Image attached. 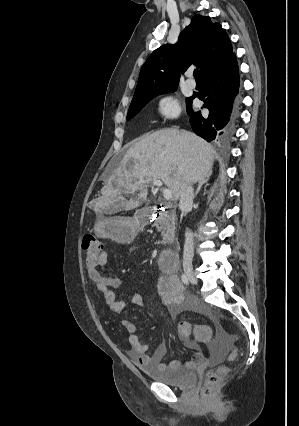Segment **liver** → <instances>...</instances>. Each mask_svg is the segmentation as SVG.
<instances>
[{
	"instance_id": "liver-1",
	"label": "liver",
	"mask_w": 299,
	"mask_h": 426,
	"mask_svg": "<svg viewBox=\"0 0 299 426\" xmlns=\"http://www.w3.org/2000/svg\"><path fill=\"white\" fill-rule=\"evenodd\" d=\"M215 155L213 147L194 133L156 131L126 151L101 191L100 205L114 211L137 208L147 200L154 180H162L177 200L184 183H196L211 175ZM125 194L132 197L126 200Z\"/></svg>"
}]
</instances>
